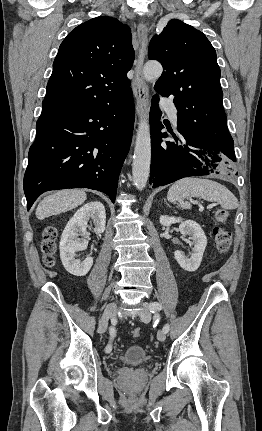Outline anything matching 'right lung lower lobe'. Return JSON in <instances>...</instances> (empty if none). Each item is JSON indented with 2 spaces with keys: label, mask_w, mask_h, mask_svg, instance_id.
I'll use <instances>...</instances> for the list:
<instances>
[{
  "label": "right lung lower lobe",
  "mask_w": 262,
  "mask_h": 431,
  "mask_svg": "<svg viewBox=\"0 0 262 431\" xmlns=\"http://www.w3.org/2000/svg\"><path fill=\"white\" fill-rule=\"evenodd\" d=\"M132 90L105 107L42 112L24 175L27 210L45 191L90 188L115 202L134 124Z\"/></svg>",
  "instance_id": "98d812e1"
}]
</instances>
